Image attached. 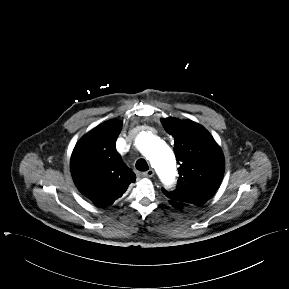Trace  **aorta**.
<instances>
[{
    "mask_svg": "<svg viewBox=\"0 0 289 289\" xmlns=\"http://www.w3.org/2000/svg\"><path fill=\"white\" fill-rule=\"evenodd\" d=\"M139 151L150 161L164 182L170 183L176 176L175 156L170 147L159 137L141 132L136 138Z\"/></svg>",
    "mask_w": 289,
    "mask_h": 289,
    "instance_id": "obj_1",
    "label": "aorta"
}]
</instances>
